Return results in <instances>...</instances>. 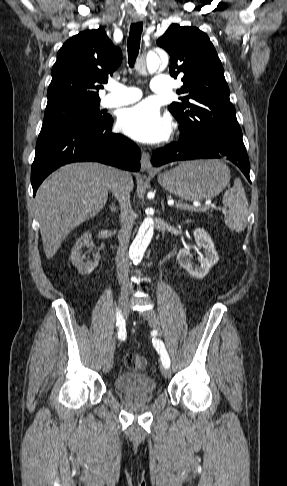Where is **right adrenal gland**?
Segmentation results:
<instances>
[{
	"instance_id": "1",
	"label": "right adrenal gland",
	"mask_w": 287,
	"mask_h": 486,
	"mask_svg": "<svg viewBox=\"0 0 287 486\" xmlns=\"http://www.w3.org/2000/svg\"><path fill=\"white\" fill-rule=\"evenodd\" d=\"M109 207H110V209H111L112 212H117L118 211V207H116L114 203L110 204Z\"/></svg>"
}]
</instances>
